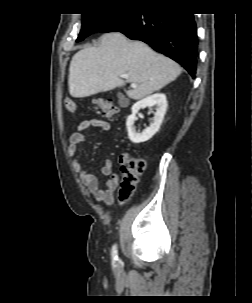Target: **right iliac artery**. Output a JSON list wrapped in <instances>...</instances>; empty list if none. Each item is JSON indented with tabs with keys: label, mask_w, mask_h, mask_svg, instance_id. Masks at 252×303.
<instances>
[{
	"label": "right iliac artery",
	"mask_w": 252,
	"mask_h": 303,
	"mask_svg": "<svg viewBox=\"0 0 252 303\" xmlns=\"http://www.w3.org/2000/svg\"><path fill=\"white\" fill-rule=\"evenodd\" d=\"M111 256L114 261L117 260L118 256H117V246L116 245H113V247H112Z\"/></svg>",
	"instance_id": "1"
}]
</instances>
